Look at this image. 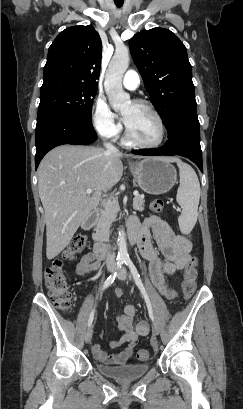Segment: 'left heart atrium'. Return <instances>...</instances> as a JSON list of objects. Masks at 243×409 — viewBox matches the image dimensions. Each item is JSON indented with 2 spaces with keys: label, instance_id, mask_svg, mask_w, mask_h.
I'll use <instances>...</instances> for the list:
<instances>
[{
  "label": "left heart atrium",
  "instance_id": "39dd6f15",
  "mask_svg": "<svg viewBox=\"0 0 243 409\" xmlns=\"http://www.w3.org/2000/svg\"><path fill=\"white\" fill-rule=\"evenodd\" d=\"M123 120L125 121V123L127 122V119L124 115H123Z\"/></svg>",
  "mask_w": 243,
  "mask_h": 409
}]
</instances>
